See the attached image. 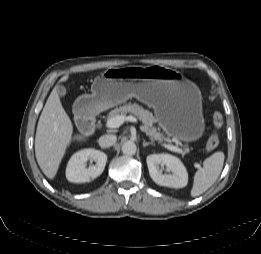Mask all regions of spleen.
<instances>
[{
  "label": "spleen",
  "mask_w": 261,
  "mask_h": 254,
  "mask_svg": "<svg viewBox=\"0 0 261 254\" xmlns=\"http://www.w3.org/2000/svg\"><path fill=\"white\" fill-rule=\"evenodd\" d=\"M224 163V153L215 152L203 162V168L194 175L191 196L196 197L207 191L218 179Z\"/></svg>",
  "instance_id": "obj_1"
}]
</instances>
